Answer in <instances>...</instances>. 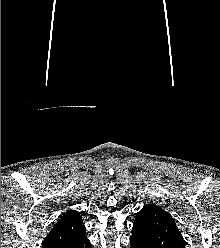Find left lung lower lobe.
Here are the masks:
<instances>
[{
    "instance_id": "left-lung-lower-lobe-1",
    "label": "left lung lower lobe",
    "mask_w": 220,
    "mask_h": 248,
    "mask_svg": "<svg viewBox=\"0 0 220 248\" xmlns=\"http://www.w3.org/2000/svg\"><path fill=\"white\" fill-rule=\"evenodd\" d=\"M131 248H158L152 242H150L144 234L139 230L132 228V235L130 238Z\"/></svg>"
}]
</instances>
